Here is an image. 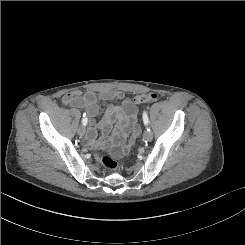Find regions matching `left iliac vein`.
<instances>
[{
  "label": "left iliac vein",
  "instance_id": "4c4485c4",
  "mask_svg": "<svg viewBox=\"0 0 245 245\" xmlns=\"http://www.w3.org/2000/svg\"><path fill=\"white\" fill-rule=\"evenodd\" d=\"M148 129H149V128H147L146 132L144 133L143 138H144V140H146V141H151L152 138H153V134H152V132H151L150 130H148Z\"/></svg>",
  "mask_w": 245,
  "mask_h": 245
}]
</instances>
